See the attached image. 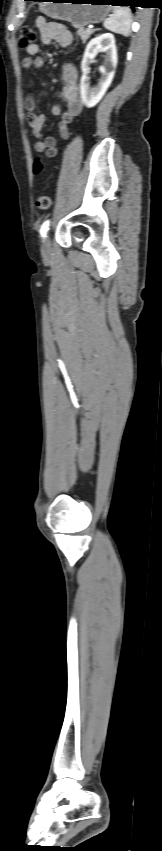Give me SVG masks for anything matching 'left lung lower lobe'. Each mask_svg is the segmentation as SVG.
<instances>
[{
  "label": "left lung lower lobe",
  "instance_id": "obj_1",
  "mask_svg": "<svg viewBox=\"0 0 162 851\" xmlns=\"http://www.w3.org/2000/svg\"><path fill=\"white\" fill-rule=\"evenodd\" d=\"M31 1H42V0H31ZM106 3H110L112 5H122V6H130L134 7L131 3V0H106Z\"/></svg>",
  "mask_w": 162,
  "mask_h": 851
}]
</instances>
